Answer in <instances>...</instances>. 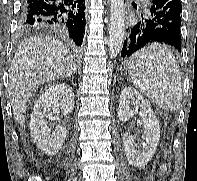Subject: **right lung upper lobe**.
<instances>
[{
  "instance_id": "cb5924a9",
  "label": "right lung upper lobe",
  "mask_w": 197,
  "mask_h": 181,
  "mask_svg": "<svg viewBox=\"0 0 197 181\" xmlns=\"http://www.w3.org/2000/svg\"><path fill=\"white\" fill-rule=\"evenodd\" d=\"M22 31H35V30H41L40 28L35 27H23L21 28Z\"/></svg>"
}]
</instances>
